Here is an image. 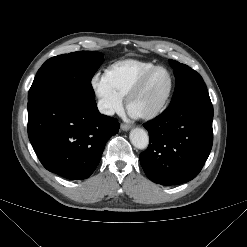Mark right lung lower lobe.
I'll return each mask as SVG.
<instances>
[{
  "label": "right lung lower lobe",
  "mask_w": 247,
  "mask_h": 247,
  "mask_svg": "<svg viewBox=\"0 0 247 247\" xmlns=\"http://www.w3.org/2000/svg\"><path fill=\"white\" fill-rule=\"evenodd\" d=\"M119 127L116 119L100 114L94 99L64 91L28 103V136L37 157L47 170L70 180L93 173Z\"/></svg>",
  "instance_id": "1"
}]
</instances>
